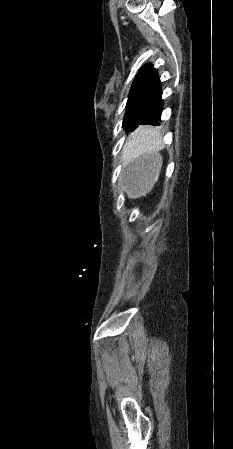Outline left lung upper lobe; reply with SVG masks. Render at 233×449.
Listing matches in <instances>:
<instances>
[{"instance_id":"obj_1","label":"left lung upper lobe","mask_w":233,"mask_h":449,"mask_svg":"<svg viewBox=\"0 0 233 449\" xmlns=\"http://www.w3.org/2000/svg\"><path fill=\"white\" fill-rule=\"evenodd\" d=\"M161 94L157 70L153 65L145 64L131 86L122 126L130 131L142 124L144 115Z\"/></svg>"}]
</instances>
